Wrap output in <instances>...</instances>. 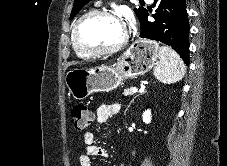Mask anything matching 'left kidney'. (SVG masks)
Here are the masks:
<instances>
[{"mask_svg":"<svg viewBox=\"0 0 227 166\" xmlns=\"http://www.w3.org/2000/svg\"><path fill=\"white\" fill-rule=\"evenodd\" d=\"M142 118L144 123L149 124L151 122V111L149 109L146 110L143 113Z\"/></svg>","mask_w":227,"mask_h":166,"instance_id":"obj_1","label":"left kidney"}]
</instances>
